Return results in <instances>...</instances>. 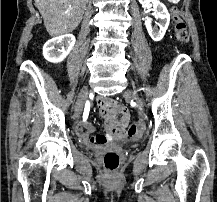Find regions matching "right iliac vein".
Wrapping results in <instances>:
<instances>
[{
  "instance_id": "1",
  "label": "right iliac vein",
  "mask_w": 217,
  "mask_h": 202,
  "mask_svg": "<svg viewBox=\"0 0 217 202\" xmlns=\"http://www.w3.org/2000/svg\"><path fill=\"white\" fill-rule=\"evenodd\" d=\"M88 94V89L84 88L78 95L77 98V104L75 105V117H78V115L80 114L81 110H82V106L84 103V100L86 99V96Z\"/></svg>"
}]
</instances>
